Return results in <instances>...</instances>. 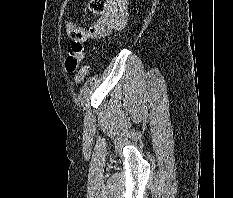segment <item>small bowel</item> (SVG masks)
Wrapping results in <instances>:
<instances>
[{
    "label": "small bowel",
    "instance_id": "obj_1",
    "mask_svg": "<svg viewBox=\"0 0 233 198\" xmlns=\"http://www.w3.org/2000/svg\"><path fill=\"white\" fill-rule=\"evenodd\" d=\"M128 20V9L126 0H107L105 10L100 18L90 26L89 38H98L110 34L113 31L122 30ZM73 54L79 62L84 58V51L81 48L74 49Z\"/></svg>",
    "mask_w": 233,
    "mask_h": 198
}]
</instances>
